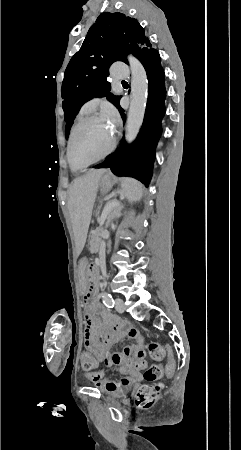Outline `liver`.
Instances as JSON below:
<instances>
[{"label": "liver", "mask_w": 241, "mask_h": 450, "mask_svg": "<svg viewBox=\"0 0 241 450\" xmlns=\"http://www.w3.org/2000/svg\"><path fill=\"white\" fill-rule=\"evenodd\" d=\"M106 170H93L81 178L73 180L69 190V210L72 218H75L78 226H82L85 218L88 228L92 216L93 204L95 202L98 186L102 174Z\"/></svg>", "instance_id": "liver-1"}]
</instances>
